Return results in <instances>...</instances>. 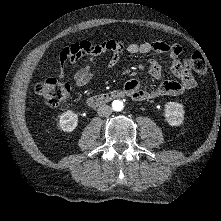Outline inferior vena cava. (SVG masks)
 <instances>
[{
  "mask_svg": "<svg viewBox=\"0 0 221 221\" xmlns=\"http://www.w3.org/2000/svg\"><path fill=\"white\" fill-rule=\"evenodd\" d=\"M97 113L100 117H108L112 113V108L104 104L97 109Z\"/></svg>",
  "mask_w": 221,
  "mask_h": 221,
  "instance_id": "obj_1",
  "label": "inferior vena cava"
}]
</instances>
